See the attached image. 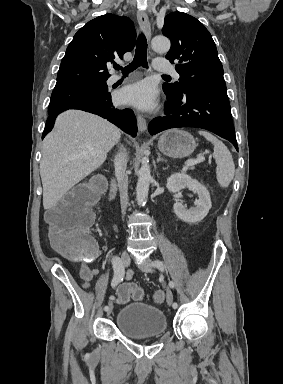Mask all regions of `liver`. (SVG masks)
<instances>
[{
  "mask_svg": "<svg viewBox=\"0 0 283 384\" xmlns=\"http://www.w3.org/2000/svg\"><path fill=\"white\" fill-rule=\"evenodd\" d=\"M120 130L94 114L68 110L43 140L40 176L44 210H51L75 184L104 164Z\"/></svg>",
  "mask_w": 283,
  "mask_h": 384,
  "instance_id": "liver-1",
  "label": "liver"
}]
</instances>
